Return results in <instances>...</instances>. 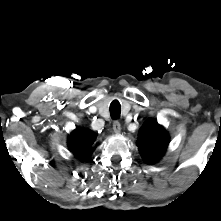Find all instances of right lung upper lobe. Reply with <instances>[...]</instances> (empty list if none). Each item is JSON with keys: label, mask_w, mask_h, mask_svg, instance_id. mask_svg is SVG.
I'll return each instance as SVG.
<instances>
[{"label": "right lung upper lobe", "mask_w": 221, "mask_h": 221, "mask_svg": "<svg viewBox=\"0 0 221 221\" xmlns=\"http://www.w3.org/2000/svg\"><path fill=\"white\" fill-rule=\"evenodd\" d=\"M95 135L83 128L77 127L70 135L68 144L71 151L81 160L90 156L91 145L95 141Z\"/></svg>", "instance_id": "1"}]
</instances>
